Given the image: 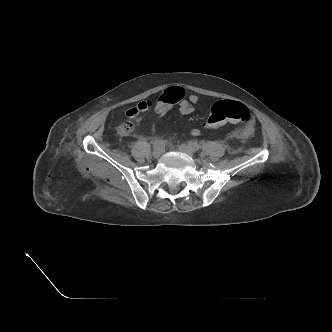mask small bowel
<instances>
[{
  "label": "small bowel",
  "instance_id": "obj_1",
  "mask_svg": "<svg viewBox=\"0 0 332 332\" xmlns=\"http://www.w3.org/2000/svg\"><path fill=\"white\" fill-rule=\"evenodd\" d=\"M182 91H183V89H182ZM198 101H199V97L197 94L192 93L188 96V98H184V91H183V97L178 101L179 102V106H178L179 112L182 115L192 114L195 110V105L198 103ZM170 109H171V103L159 101L156 105V111L160 114H165ZM253 132H254L253 125L248 124L240 131V135L243 138H247L250 135H252ZM201 133H202L201 130L198 128H193L191 130V134L194 136H199V135H201Z\"/></svg>",
  "mask_w": 332,
  "mask_h": 332
}]
</instances>
